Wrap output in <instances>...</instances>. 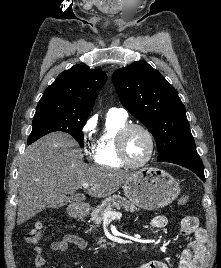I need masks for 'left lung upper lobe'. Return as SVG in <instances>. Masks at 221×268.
<instances>
[{
    "instance_id": "1",
    "label": "left lung upper lobe",
    "mask_w": 221,
    "mask_h": 268,
    "mask_svg": "<svg viewBox=\"0 0 221 268\" xmlns=\"http://www.w3.org/2000/svg\"><path fill=\"white\" fill-rule=\"evenodd\" d=\"M112 80L121 103L154 136L157 161L196 150L185 107L157 70L139 61L115 71Z\"/></svg>"
}]
</instances>
